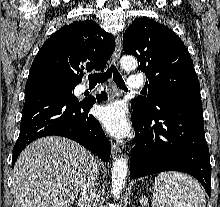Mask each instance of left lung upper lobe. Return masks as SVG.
<instances>
[{
  "label": "left lung upper lobe",
  "instance_id": "obj_1",
  "mask_svg": "<svg viewBox=\"0 0 220 207\" xmlns=\"http://www.w3.org/2000/svg\"><path fill=\"white\" fill-rule=\"evenodd\" d=\"M123 50L138 59V71L148 79L147 97L134 100L133 108L151 115L165 97L200 93L190 54L182 40L166 26L147 17L136 19L125 31Z\"/></svg>",
  "mask_w": 220,
  "mask_h": 207
}]
</instances>
